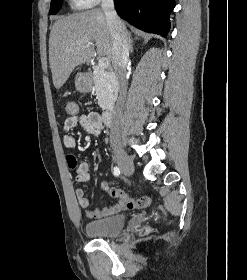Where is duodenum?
Returning a JSON list of instances; mask_svg holds the SVG:
<instances>
[{
	"label": "duodenum",
	"mask_w": 247,
	"mask_h": 280,
	"mask_svg": "<svg viewBox=\"0 0 247 280\" xmlns=\"http://www.w3.org/2000/svg\"><path fill=\"white\" fill-rule=\"evenodd\" d=\"M114 115H115V110L114 108L110 107L107 108L104 112H103V121L107 126H111L114 122Z\"/></svg>",
	"instance_id": "410a0bca"
}]
</instances>
